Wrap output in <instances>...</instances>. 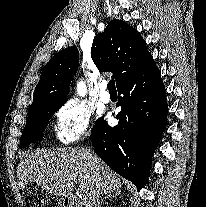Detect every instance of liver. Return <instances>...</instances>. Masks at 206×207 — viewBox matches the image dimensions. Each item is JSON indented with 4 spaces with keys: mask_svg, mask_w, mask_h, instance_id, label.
Instances as JSON below:
<instances>
[{
    "mask_svg": "<svg viewBox=\"0 0 206 207\" xmlns=\"http://www.w3.org/2000/svg\"><path fill=\"white\" fill-rule=\"evenodd\" d=\"M17 178L20 188L35 182L63 202L71 199L74 182L87 204L96 193L109 195L121 188L120 176L84 148L38 149L26 154L18 165Z\"/></svg>",
    "mask_w": 206,
    "mask_h": 207,
    "instance_id": "obj_1",
    "label": "liver"
}]
</instances>
